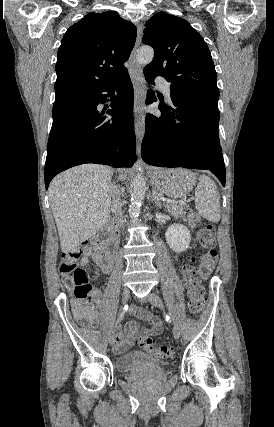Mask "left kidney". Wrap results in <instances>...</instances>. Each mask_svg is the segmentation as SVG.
I'll list each match as a JSON object with an SVG mask.
<instances>
[{"mask_svg": "<svg viewBox=\"0 0 274 427\" xmlns=\"http://www.w3.org/2000/svg\"><path fill=\"white\" fill-rule=\"evenodd\" d=\"M165 237L168 245H170L176 253L185 251V249L189 247L191 241V233L188 227L182 225V223H172V225H169Z\"/></svg>", "mask_w": 274, "mask_h": 427, "instance_id": "obj_1", "label": "left kidney"}]
</instances>
